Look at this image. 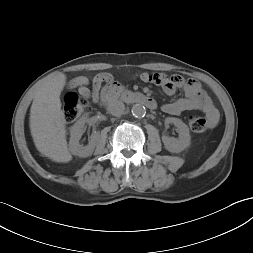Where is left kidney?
<instances>
[{"label": "left kidney", "instance_id": "obj_1", "mask_svg": "<svg viewBox=\"0 0 253 253\" xmlns=\"http://www.w3.org/2000/svg\"><path fill=\"white\" fill-rule=\"evenodd\" d=\"M174 124L179 133L178 138H170L168 136H163L162 141L165 148L173 153H179L186 149L190 145V132L188 126L180 119L174 117H168L165 119V125Z\"/></svg>", "mask_w": 253, "mask_h": 253}]
</instances>
